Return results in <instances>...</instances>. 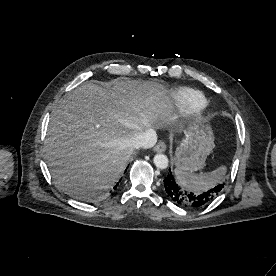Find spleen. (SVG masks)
I'll use <instances>...</instances> for the list:
<instances>
[{"label": "spleen", "mask_w": 276, "mask_h": 276, "mask_svg": "<svg viewBox=\"0 0 276 276\" xmlns=\"http://www.w3.org/2000/svg\"><path fill=\"white\" fill-rule=\"evenodd\" d=\"M227 171L226 166H220L212 172L195 174L180 169L175 170L178 182L191 191H205L220 183Z\"/></svg>", "instance_id": "spleen-1"}]
</instances>
